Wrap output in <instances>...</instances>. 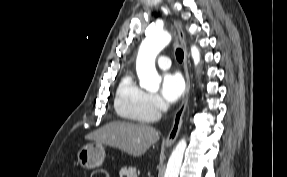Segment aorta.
Listing matches in <instances>:
<instances>
[{"label":"aorta","mask_w":287,"mask_h":177,"mask_svg":"<svg viewBox=\"0 0 287 177\" xmlns=\"http://www.w3.org/2000/svg\"><path fill=\"white\" fill-rule=\"evenodd\" d=\"M170 41V33L167 31H155L141 43L136 61V70L142 88L148 91H157L159 89L161 77L156 71L155 59ZM191 55L194 64L197 65L200 61V53L196 46L191 47ZM186 146L185 139H181L178 142L168 160L164 177L179 176Z\"/></svg>","instance_id":"762f6f07"}]
</instances>
